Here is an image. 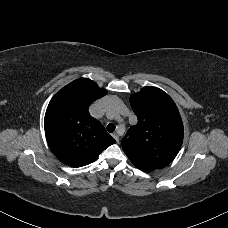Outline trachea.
<instances>
[{
  "mask_svg": "<svg viewBox=\"0 0 228 228\" xmlns=\"http://www.w3.org/2000/svg\"><path fill=\"white\" fill-rule=\"evenodd\" d=\"M115 128H116V126L112 123L107 125V131L110 133L114 132Z\"/></svg>",
  "mask_w": 228,
  "mask_h": 228,
  "instance_id": "3493384b",
  "label": "trachea"
}]
</instances>
